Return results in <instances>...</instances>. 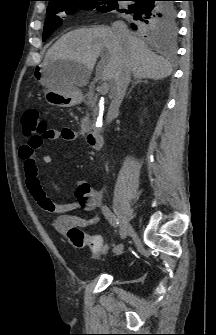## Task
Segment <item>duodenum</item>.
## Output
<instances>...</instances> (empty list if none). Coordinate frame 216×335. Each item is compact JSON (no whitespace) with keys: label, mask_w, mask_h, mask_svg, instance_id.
Wrapping results in <instances>:
<instances>
[{"label":"duodenum","mask_w":216,"mask_h":335,"mask_svg":"<svg viewBox=\"0 0 216 335\" xmlns=\"http://www.w3.org/2000/svg\"><path fill=\"white\" fill-rule=\"evenodd\" d=\"M88 105H91L92 102L87 101ZM87 142L92 149L99 150L102 147V137L97 129H93L87 134Z\"/></svg>","instance_id":"410a0bca"}]
</instances>
